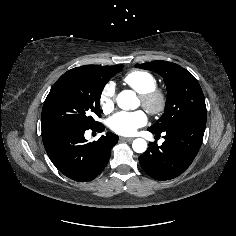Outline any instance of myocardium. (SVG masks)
Here are the masks:
<instances>
[{"label": "myocardium", "instance_id": "obj_1", "mask_svg": "<svg viewBox=\"0 0 236 236\" xmlns=\"http://www.w3.org/2000/svg\"><path fill=\"white\" fill-rule=\"evenodd\" d=\"M142 106L151 115L161 114L167 105V95L159 88H153L139 95Z\"/></svg>", "mask_w": 236, "mask_h": 236}]
</instances>
